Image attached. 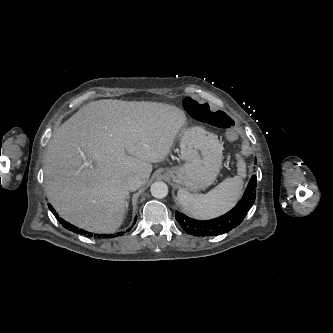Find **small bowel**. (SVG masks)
Masks as SVG:
<instances>
[{"label":"small bowel","mask_w":333,"mask_h":333,"mask_svg":"<svg viewBox=\"0 0 333 333\" xmlns=\"http://www.w3.org/2000/svg\"><path fill=\"white\" fill-rule=\"evenodd\" d=\"M223 141L228 144L235 143L237 141L238 135L235 130L229 129L226 130L223 134ZM240 152L242 155L247 156L251 152V146L249 143L244 142L240 146Z\"/></svg>","instance_id":"obj_1"}]
</instances>
